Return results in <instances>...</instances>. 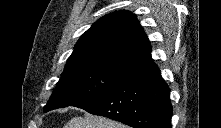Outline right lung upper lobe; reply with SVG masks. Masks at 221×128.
Masks as SVG:
<instances>
[{
    "mask_svg": "<svg viewBox=\"0 0 221 128\" xmlns=\"http://www.w3.org/2000/svg\"><path fill=\"white\" fill-rule=\"evenodd\" d=\"M152 61L151 46L138 19L122 10L97 20L81 36L64 71L96 68L127 76Z\"/></svg>",
    "mask_w": 221,
    "mask_h": 128,
    "instance_id": "cb5924a9",
    "label": "right lung upper lobe"
}]
</instances>
